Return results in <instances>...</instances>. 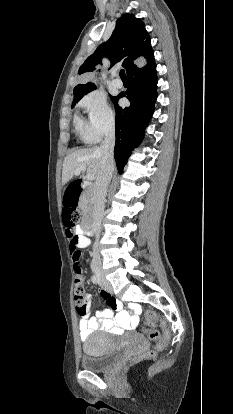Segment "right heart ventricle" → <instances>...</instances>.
I'll use <instances>...</instances> for the list:
<instances>
[{"label": "right heart ventricle", "instance_id": "right-heart-ventricle-1", "mask_svg": "<svg viewBox=\"0 0 233 414\" xmlns=\"http://www.w3.org/2000/svg\"><path fill=\"white\" fill-rule=\"evenodd\" d=\"M74 125L77 133L83 138L86 129L85 123L80 117L76 116L74 119Z\"/></svg>", "mask_w": 233, "mask_h": 414}]
</instances>
